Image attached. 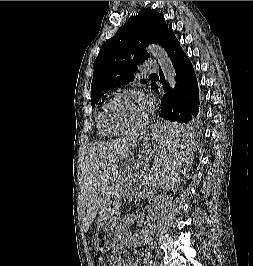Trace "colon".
<instances>
[{"label":"colon","instance_id":"5ec220e1","mask_svg":"<svg viewBox=\"0 0 253 266\" xmlns=\"http://www.w3.org/2000/svg\"><path fill=\"white\" fill-rule=\"evenodd\" d=\"M117 265H118V263H117L116 260H110V261H108V266H117Z\"/></svg>","mask_w":253,"mask_h":266}]
</instances>
